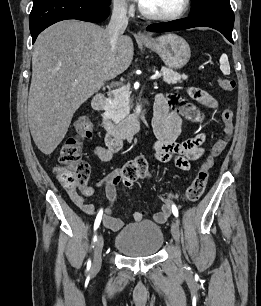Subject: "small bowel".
I'll return each mask as SVG.
<instances>
[{
    "label": "small bowel",
    "instance_id": "small-bowel-1",
    "mask_svg": "<svg viewBox=\"0 0 261 306\" xmlns=\"http://www.w3.org/2000/svg\"><path fill=\"white\" fill-rule=\"evenodd\" d=\"M187 93L193 100L208 108L216 109L218 107L217 100L202 89L190 87L187 89ZM183 117L193 122H201L203 120V116L194 105L184 103L178 96L172 95L168 99L163 95H158L154 102L152 127L156 141L152 148L155 158L160 162L172 163L178 169L190 171L192 169L191 162L200 158L205 152L206 134L199 133L182 142H177V138L181 133ZM122 148L123 139L107 135L105 146H96L93 153L99 160L108 162ZM118 174L119 170H116L98 183L99 186L105 188L106 197L111 204L116 199V186L119 183L116 177ZM81 190L86 196L93 192V188L90 186ZM68 194L72 202L84 213L94 216L102 211L101 222L107 229L119 231L124 226V222L121 219L112 215L109 207L105 211L101 209L97 213L95 206L86 202L83 196L75 190L68 189ZM170 214L171 206L169 203L164 202L161 209L154 214L153 219L155 222L162 224L167 221ZM143 216V212L135 211L132 218L135 222H140Z\"/></svg>",
    "mask_w": 261,
    "mask_h": 306
}]
</instances>
